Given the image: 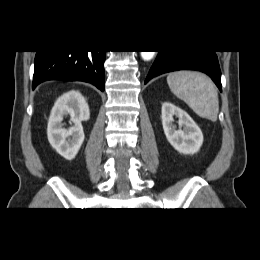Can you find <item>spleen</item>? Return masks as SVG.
Segmentation results:
<instances>
[{"mask_svg":"<svg viewBox=\"0 0 260 260\" xmlns=\"http://www.w3.org/2000/svg\"><path fill=\"white\" fill-rule=\"evenodd\" d=\"M170 90L198 116L216 121L219 112L217 89L212 80L199 72L177 71L167 76Z\"/></svg>","mask_w":260,"mask_h":260,"instance_id":"1","label":"spleen"}]
</instances>
